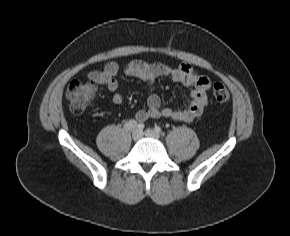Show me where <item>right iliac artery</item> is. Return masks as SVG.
<instances>
[{"label":"right iliac artery","instance_id":"right-iliac-artery-1","mask_svg":"<svg viewBox=\"0 0 290 236\" xmlns=\"http://www.w3.org/2000/svg\"><path fill=\"white\" fill-rule=\"evenodd\" d=\"M144 127H145V125L143 123H139V124H137V127L136 128L139 131H143Z\"/></svg>","mask_w":290,"mask_h":236}]
</instances>
